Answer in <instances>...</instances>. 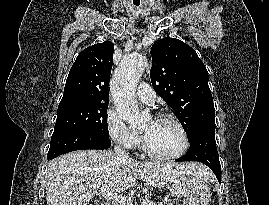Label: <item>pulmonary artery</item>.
Here are the masks:
<instances>
[{
	"mask_svg": "<svg viewBox=\"0 0 269 205\" xmlns=\"http://www.w3.org/2000/svg\"><path fill=\"white\" fill-rule=\"evenodd\" d=\"M137 96L142 102L152 104L156 98V93L149 84L141 83L137 88Z\"/></svg>",
	"mask_w": 269,
	"mask_h": 205,
	"instance_id": "1",
	"label": "pulmonary artery"
}]
</instances>
